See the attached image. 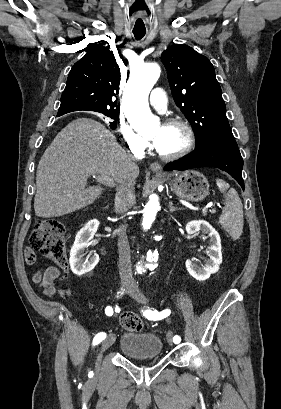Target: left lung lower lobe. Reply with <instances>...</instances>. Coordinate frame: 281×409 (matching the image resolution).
I'll list each match as a JSON object with an SVG mask.
<instances>
[{
    "label": "left lung lower lobe",
    "instance_id": "0a47b994",
    "mask_svg": "<svg viewBox=\"0 0 281 409\" xmlns=\"http://www.w3.org/2000/svg\"><path fill=\"white\" fill-rule=\"evenodd\" d=\"M198 167H217L229 173L244 190L243 159L238 147L207 144L196 147L187 157L170 163L165 170H187Z\"/></svg>",
    "mask_w": 281,
    "mask_h": 409
}]
</instances>
